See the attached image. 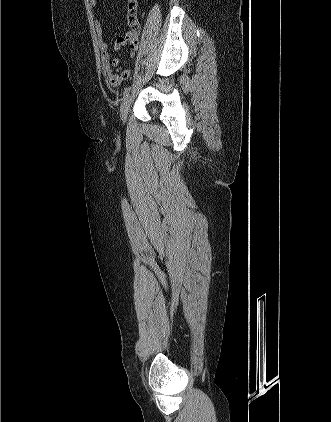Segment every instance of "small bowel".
<instances>
[{"label":"small bowel","mask_w":331,"mask_h":422,"mask_svg":"<svg viewBox=\"0 0 331 422\" xmlns=\"http://www.w3.org/2000/svg\"><path fill=\"white\" fill-rule=\"evenodd\" d=\"M90 5L96 7L98 0H90ZM94 29L97 37V46L101 56V68L105 80L112 87H118L125 80L130 77V71L120 68V59H110L108 52V44L103 37V30L100 20L97 15H93ZM129 23L131 29L126 31L123 35L118 36L113 44L114 51L118 52L124 47H129L131 50V56L133 57L138 49V34L140 31L139 24L136 20L132 21L129 17Z\"/></svg>","instance_id":"1"}]
</instances>
